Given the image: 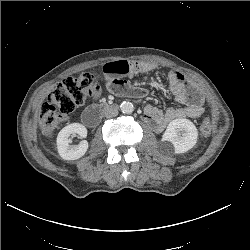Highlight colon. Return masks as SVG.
<instances>
[{
  "mask_svg": "<svg viewBox=\"0 0 250 250\" xmlns=\"http://www.w3.org/2000/svg\"><path fill=\"white\" fill-rule=\"evenodd\" d=\"M95 78L90 73H82L62 80L49 94L41 106L39 120L42 132L50 137L68 119L69 115L92 95ZM212 131L209 118L199 121L198 132L201 138H207Z\"/></svg>",
  "mask_w": 250,
  "mask_h": 250,
  "instance_id": "1",
  "label": "colon"
}]
</instances>
